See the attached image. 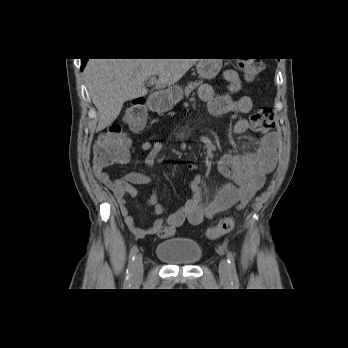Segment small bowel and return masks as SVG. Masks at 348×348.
<instances>
[{
    "label": "small bowel",
    "instance_id": "small-bowel-1",
    "mask_svg": "<svg viewBox=\"0 0 348 348\" xmlns=\"http://www.w3.org/2000/svg\"><path fill=\"white\" fill-rule=\"evenodd\" d=\"M227 92L217 94L212 85L204 83L199 88V95L207 105L210 113L220 116L230 112L242 114L252 109V101L247 96L233 99L241 89V79L234 70H227L223 74ZM249 129V121L245 117L239 118L231 127L234 134H243ZM278 136L270 133L262 137L258 147L251 152L242 154H225L218 162L220 172L230 180L208 203L203 201V192L200 186L201 178L196 176L187 187L190 199L176 212L164 216L166 207L158 202L157 194L151 196L148 204L154 207L158 218L149 227H140L136 224L127 207V200L137 195L136 184H150L152 179L144 173H128L119 178L111 179L104 167L95 165L93 171L97 179L107 186L114 194L120 213L129 231L137 237L158 234L165 226L177 227L188 221L192 225H200L219 214L238 206L243 208L253 198L256 192L264 185L266 176L273 171L277 162ZM162 144L158 141H144L138 145V150L146 152L145 163L152 169L160 152ZM127 157L119 164L127 163ZM191 169L195 166L191 165Z\"/></svg>",
    "mask_w": 348,
    "mask_h": 348
}]
</instances>
